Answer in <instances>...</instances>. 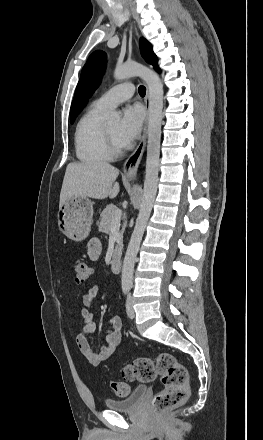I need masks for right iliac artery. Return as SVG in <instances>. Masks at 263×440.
Wrapping results in <instances>:
<instances>
[{
	"label": "right iliac artery",
	"mask_w": 263,
	"mask_h": 440,
	"mask_svg": "<svg viewBox=\"0 0 263 440\" xmlns=\"http://www.w3.org/2000/svg\"><path fill=\"white\" fill-rule=\"evenodd\" d=\"M123 293L126 294L127 293V289L124 288L123 289Z\"/></svg>",
	"instance_id": "82829eb1"
}]
</instances>
